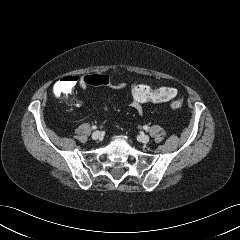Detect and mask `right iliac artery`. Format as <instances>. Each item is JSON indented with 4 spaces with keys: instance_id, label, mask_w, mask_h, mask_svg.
Masks as SVG:
<instances>
[{
    "instance_id": "obj_1",
    "label": "right iliac artery",
    "mask_w": 240,
    "mask_h": 240,
    "mask_svg": "<svg viewBox=\"0 0 240 240\" xmlns=\"http://www.w3.org/2000/svg\"><path fill=\"white\" fill-rule=\"evenodd\" d=\"M92 129L93 130L97 129V126L96 125L92 126Z\"/></svg>"
}]
</instances>
